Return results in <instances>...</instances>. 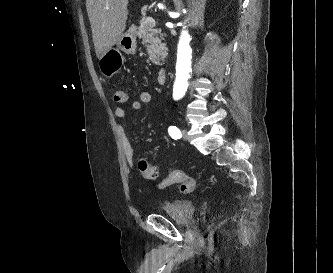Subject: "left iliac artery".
Instances as JSON below:
<instances>
[{
	"instance_id": "obj_1",
	"label": "left iliac artery",
	"mask_w": 333,
	"mask_h": 273,
	"mask_svg": "<svg viewBox=\"0 0 333 273\" xmlns=\"http://www.w3.org/2000/svg\"><path fill=\"white\" fill-rule=\"evenodd\" d=\"M168 133L173 139H180L182 137L181 131L176 126H170Z\"/></svg>"
}]
</instances>
